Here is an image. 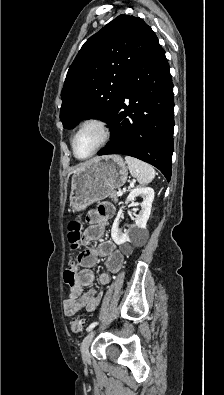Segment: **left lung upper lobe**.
Here are the masks:
<instances>
[{
  "instance_id": "5c2ea615",
  "label": "left lung upper lobe",
  "mask_w": 224,
  "mask_h": 395,
  "mask_svg": "<svg viewBox=\"0 0 224 395\" xmlns=\"http://www.w3.org/2000/svg\"><path fill=\"white\" fill-rule=\"evenodd\" d=\"M157 42L142 19L124 14L91 36L65 79L60 110L63 127L74 128L89 118L108 122L131 73Z\"/></svg>"
}]
</instances>
